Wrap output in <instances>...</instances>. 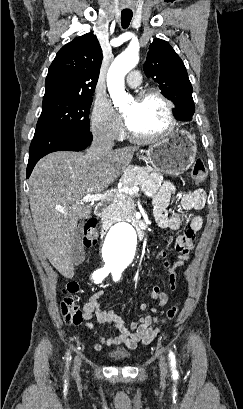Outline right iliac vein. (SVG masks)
<instances>
[{"label":"right iliac vein","mask_w":243,"mask_h":409,"mask_svg":"<svg viewBox=\"0 0 243 409\" xmlns=\"http://www.w3.org/2000/svg\"><path fill=\"white\" fill-rule=\"evenodd\" d=\"M80 366H81V360L78 356L75 357L74 360V372L75 374H78L79 370H80Z\"/></svg>","instance_id":"right-iliac-vein-1"}]
</instances>
